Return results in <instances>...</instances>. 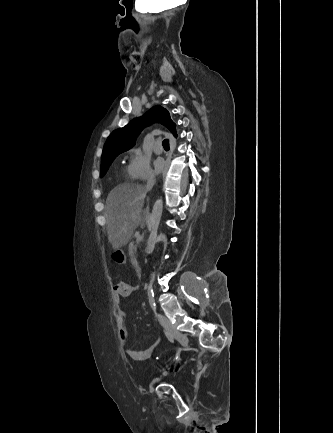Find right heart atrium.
<instances>
[{"label": "right heart atrium", "instance_id": "1", "mask_svg": "<svg viewBox=\"0 0 333 433\" xmlns=\"http://www.w3.org/2000/svg\"><path fill=\"white\" fill-rule=\"evenodd\" d=\"M127 171L131 178L137 180L154 177L149 158L143 155L139 149H132L129 152Z\"/></svg>", "mask_w": 333, "mask_h": 433}]
</instances>
